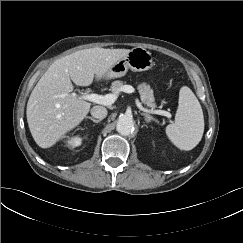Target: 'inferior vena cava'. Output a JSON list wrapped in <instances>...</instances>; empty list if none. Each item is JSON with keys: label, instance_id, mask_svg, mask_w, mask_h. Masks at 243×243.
Masks as SVG:
<instances>
[{"label": "inferior vena cava", "instance_id": "602c4592", "mask_svg": "<svg viewBox=\"0 0 243 243\" xmlns=\"http://www.w3.org/2000/svg\"><path fill=\"white\" fill-rule=\"evenodd\" d=\"M91 115L99 120L107 116V109L103 106H94L91 109Z\"/></svg>", "mask_w": 243, "mask_h": 243}]
</instances>
